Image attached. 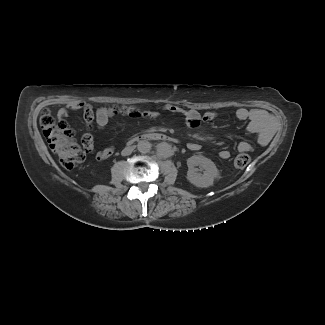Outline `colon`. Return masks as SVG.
Returning a JSON list of instances; mask_svg holds the SVG:
<instances>
[{"label":"colon","mask_w":325,"mask_h":325,"mask_svg":"<svg viewBox=\"0 0 325 325\" xmlns=\"http://www.w3.org/2000/svg\"><path fill=\"white\" fill-rule=\"evenodd\" d=\"M113 113H121L129 116H139L140 110L136 107H105ZM44 136L51 150L58 157L61 165L66 169H73L85 160V151L73 140L67 138L57 125L56 119L48 112L44 111L40 120ZM251 162L250 156L242 152L238 154L233 162L236 169H244Z\"/></svg>","instance_id":"obj_1"}]
</instances>
